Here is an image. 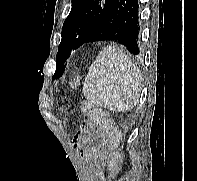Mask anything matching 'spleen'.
Here are the masks:
<instances>
[{
  "label": "spleen",
  "mask_w": 197,
  "mask_h": 181,
  "mask_svg": "<svg viewBox=\"0 0 197 181\" xmlns=\"http://www.w3.org/2000/svg\"><path fill=\"white\" fill-rule=\"evenodd\" d=\"M140 91V70L121 49L111 45L97 55L83 83L88 101L118 112L133 108Z\"/></svg>",
  "instance_id": "1"
}]
</instances>
